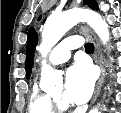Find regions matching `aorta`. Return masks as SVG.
I'll return each mask as SVG.
<instances>
[{"mask_svg": "<svg viewBox=\"0 0 121 113\" xmlns=\"http://www.w3.org/2000/svg\"><path fill=\"white\" fill-rule=\"evenodd\" d=\"M87 22L97 33L103 44L109 40V30L106 21L95 11L88 9H72L63 13H52L46 20L42 32V43L40 52L46 56L50 49L63 37V35L79 22ZM61 81V74L45 61L41 68V86L44 90H49L57 82ZM91 113H99L97 108Z\"/></svg>", "mask_w": 121, "mask_h": 113, "instance_id": "obj_1", "label": "aorta"}]
</instances>
